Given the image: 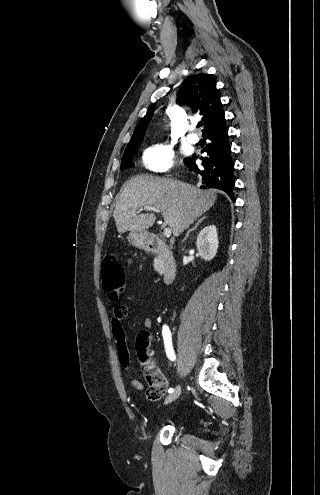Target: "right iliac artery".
I'll return each mask as SVG.
<instances>
[{"instance_id":"1","label":"right iliac artery","mask_w":320,"mask_h":495,"mask_svg":"<svg viewBox=\"0 0 320 495\" xmlns=\"http://www.w3.org/2000/svg\"><path fill=\"white\" fill-rule=\"evenodd\" d=\"M162 335H163V339H164L166 354L171 361H174L175 360V354H174V350H173V346H172L171 333H170V329L167 325L163 326ZM173 391H174L173 388H169V390H168L169 393H172Z\"/></svg>"}]
</instances>
